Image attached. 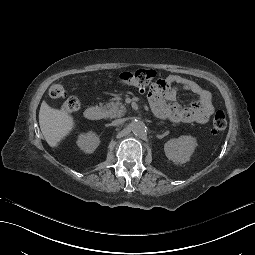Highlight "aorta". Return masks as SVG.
Listing matches in <instances>:
<instances>
[{
  "label": "aorta",
  "mask_w": 255,
  "mask_h": 255,
  "mask_svg": "<svg viewBox=\"0 0 255 255\" xmlns=\"http://www.w3.org/2000/svg\"><path fill=\"white\" fill-rule=\"evenodd\" d=\"M145 129H146V126L143 121L137 120L131 123V130L136 135H140L144 133Z\"/></svg>",
  "instance_id": "obj_1"
}]
</instances>
